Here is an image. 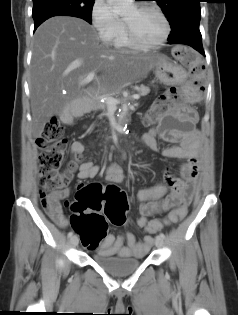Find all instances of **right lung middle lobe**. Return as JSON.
Listing matches in <instances>:
<instances>
[{"label":"right lung middle lobe","instance_id":"right-lung-middle-lobe-1","mask_svg":"<svg viewBox=\"0 0 238 315\" xmlns=\"http://www.w3.org/2000/svg\"><path fill=\"white\" fill-rule=\"evenodd\" d=\"M94 0H33V18L50 12H65L92 23Z\"/></svg>","mask_w":238,"mask_h":315}]
</instances>
